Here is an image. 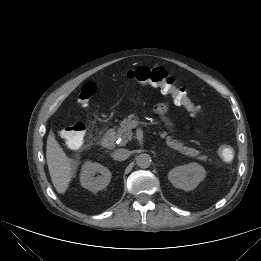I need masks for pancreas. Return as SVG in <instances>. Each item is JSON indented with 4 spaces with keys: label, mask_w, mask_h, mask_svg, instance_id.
I'll return each instance as SVG.
<instances>
[{
    "label": "pancreas",
    "mask_w": 261,
    "mask_h": 261,
    "mask_svg": "<svg viewBox=\"0 0 261 261\" xmlns=\"http://www.w3.org/2000/svg\"><path fill=\"white\" fill-rule=\"evenodd\" d=\"M132 118L133 116H129L127 119H124L121 122L120 127L117 129V135L122 138L123 144H125L132 138V128H133ZM167 135L168 134L166 131L160 132L161 138H165L167 145L173 150H176L188 157H196L198 160L203 162H206L208 160L207 156L201 155L200 152L197 151L196 149L184 146V144L181 143L180 141L174 140ZM209 162H211V159H209Z\"/></svg>",
    "instance_id": "cf45deb5"
}]
</instances>
